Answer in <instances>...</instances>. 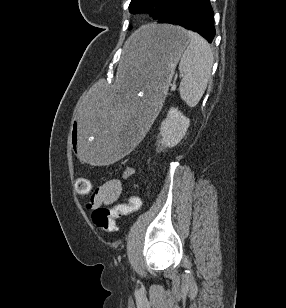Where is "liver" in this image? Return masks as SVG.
<instances>
[{
  "label": "liver",
  "mask_w": 286,
  "mask_h": 308,
  "mask_svg": "<svg viewBox=\"0 0 286 308\" xmlns=\"http://www.w3.org/2000/svg\"><path fill=\"white\" fill-rule=\"evenodd\" d=\"M138 37V31H136L126 42V52L131 57V59H134V50H133V43Z\"/></svg>",
  "instance_id": "1"
}]
</instances>
